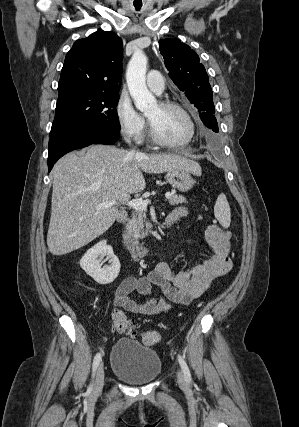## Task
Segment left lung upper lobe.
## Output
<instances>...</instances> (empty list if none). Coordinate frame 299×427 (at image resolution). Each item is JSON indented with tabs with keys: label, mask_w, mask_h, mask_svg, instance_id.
I'll list each match as a JSON object with an SVG mask.
<instances>
[{
	"label": "left lung upper lobe",
	"mask_w": 299,
	"mask_h": 427,
	"mask_svg": "<svg viewBox=\"0 0 299 427\" xmlns=\"http://www.w3.org/2000/svg\"><path fill=\"white\" fill-rule=\"evenodd\" d=\"M159 51L173 82L197 108L204 125L218 132L209 77L196 52L177 39L159 40Z\"/></svg>",
	"instance_id": "obj_1"
}]
</instances>
